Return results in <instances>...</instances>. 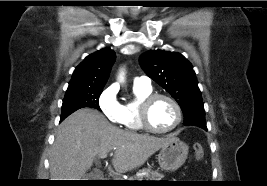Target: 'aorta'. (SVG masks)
<instances>
[{
  "instance_id": "obj_1",
  "label": "aorta",
  "mask_w": 267,
  "mask_h": 186,
  "mask_svg": "<svg viewBox=\"0 0 267 186\" xmlns=\"http://www.w3.org/2000/svg\"><path fill=\"white\" fill-rule=\"evenodd\" d=\"M123 75H124V74H121V75H120V77H119V78H120V81H124V77H123Z\"/></svg>"
}]
</instances>
